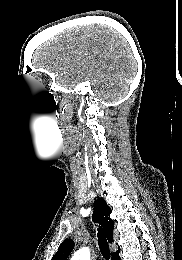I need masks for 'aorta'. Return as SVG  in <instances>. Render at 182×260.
Wrapping results in <instances>:
<instances>
[{
    "mask_svg": "<svg viewBox=\"0 0 182 260\" xmlns=\"http://www.w3.org/2000/svg\"><path fill=\"white\" fill-rule=\"evenodd\" d=\"M71 260H90V251L89 248L83 247L76 251Z\"/></svg>",
    "mask_w": 182,
    "mask_h": 260,
    "instance_id": "aorta-1",
    "label": "aorta"
}]
</instances>
